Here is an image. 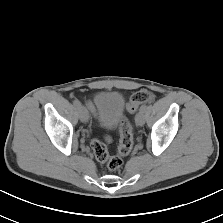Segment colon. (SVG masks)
<instances>
[{
  "label": "colon",
  "mask_w": 223,
  "mask_h": 223,
  "mask_svg": "<svg viewBox=\"0 0 223 223\" xmlns=\"http://www.w3.org/2000/svg\"><path fill=\"white\" fill-rule=\"evenodd\" d=\"M152 100V92L149 90H139L131 95L127 104V110L134 113L141 104L151 102ZM119 135L120 143L116 155H109L106 144L99 140H93L91 143L96 159L105 163L110 171H116L122 166V157L126 156L133 146V130L126 118H122L120 122ZM106 141L108 142L109 138L106 137Z\"/></svg>",
  "instance_id": "obj_1"
}]
</instances>
